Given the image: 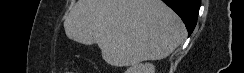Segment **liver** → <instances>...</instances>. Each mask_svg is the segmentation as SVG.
<instances>
[{
    "label": "liver",
    "mask_w": 244,
    "mask_h": 73,
    "mask_svg": "<svg viewBox=\"0 0 244 73\" xmlns=\"http://www.w3.org/2000/svg\"><path fill=\"white\" fill-rule=\"evenodd\" d=\"M69 39L97 43L112 66L169 56L183 41L185 26L161 0H78L64 21Z\"/></svg>",
    "instance_id": "obj_1"
}]
</instances>
